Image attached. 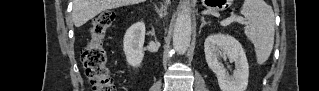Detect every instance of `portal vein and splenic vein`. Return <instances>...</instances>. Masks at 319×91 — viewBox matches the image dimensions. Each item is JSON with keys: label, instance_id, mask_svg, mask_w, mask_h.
<instances>
[{"label": "portal vein and splenic vein", "instance_id": "obj_1", "mask_svg": "<svg viewBox=\"0 0 319 91\" xmlns=\"http://www.w3.org/2000/svg\"><path fill=\"white\" fill-rule=\"evenodd\" d=\"M233 21H238V22H240V23H243V22H244V20H243L242 18L232 17V18H230V19H228V20L222 21V22H221V25H222V26H226V25L230 24V23L233 22Z\"/></svg>", "mask_w": 319, "mask_h": 91}]
</instances>
